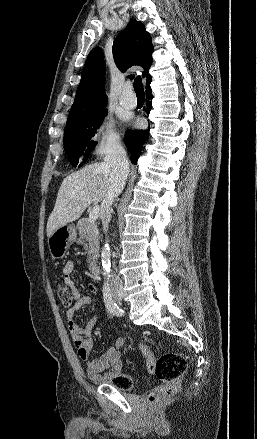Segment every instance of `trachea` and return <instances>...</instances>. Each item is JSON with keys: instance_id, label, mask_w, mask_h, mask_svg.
<instances>
[{"instance_id": "trachea-1", "label": "trachea", "mask_w": 257, "mask_h": 439, "mask_svg": "<svg viewBox=\"0 0 257 439\" xmlns=\"http://www.w3.org/2000/svg\"><path fill=\"white\" fill-rule=\"evenodd\" d=\"M134 90L136 92V95L144 96V89H143L142 79L140 76H137L134 80Z\"/></svg>"}]
</instances>
